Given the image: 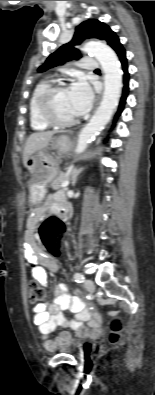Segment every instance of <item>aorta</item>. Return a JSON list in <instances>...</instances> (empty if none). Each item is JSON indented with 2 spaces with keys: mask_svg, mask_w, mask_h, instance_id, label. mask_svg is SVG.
<instances>
[{
  "mask_svg": "<svg viewBox=\"0 0 155 395\" xmlns=\"http://www.w3.org/2000/svg\"><path fill=\"white\" fill-rule=\"evenodd\" d=\"M82 51L93 55L101 64L104 72V94L100 106L78 136L75 149L77 154L84 152L90 141L110 121L122 89L121 66L115 52L109 46L99 42H88Z\"/></svg>",
  "mask_w": 155,
  "mask_h": 395,
  "instance_id": "aorta-1",
  "label": "aorta"
}]
</instances>
